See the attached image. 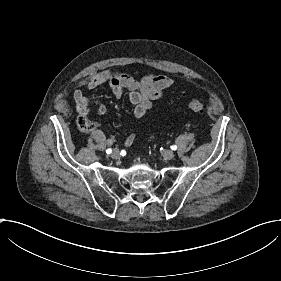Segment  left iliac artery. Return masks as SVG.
Returning a JSON list of instances; mask_svg holds the SVG:
<instances>
[{
  "mask_svg": "<svg viewBox=\"0 0 281 281\" xmlns=\"http://www.w3.org/2000/svg\"><path fill=\"white\" fill-rule=\"evenodd\" d=\"M171 149H172V150H176V149H177V146H176V145H173V146H171Z\"/></svg>",
  "mask_w": 281,
  "mask_h": 281,
  "instance_id": "1",
  "label": "left iliac artery"
}]
</instances>
